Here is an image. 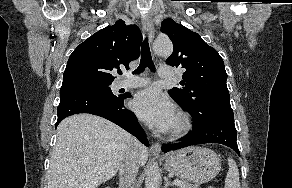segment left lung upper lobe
<instances>
[{
	"label": "left lung upper lobe",
	"instance_id": "1",
	"mask_svg": "<svg viewBox=\"0 0 292 188\" xmlns=\"http://www.w3.org/2000/svg\"><path fill=\"white\" fill-rule=\"evenodd\" d=\"M161 29L174 46L166 63L186 69L180 86L169 90V94L191 114L194 126L201 125L216 112L233 111L224 62L218 52L207 45L199 34L173 19H165Z\"/></svg>",
	"mask_w": 292,
	"mask_h": 188
}]
</instances>
